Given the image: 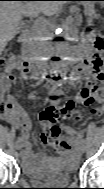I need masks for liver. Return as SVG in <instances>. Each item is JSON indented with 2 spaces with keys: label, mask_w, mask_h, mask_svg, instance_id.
<instances>
[{
  "label": "liver",
  "mask_w": 104,
  "mask_h": 189,
  "mask_svg": "<svg viewBox=\"0 0 104 189\" xmlns=\"http://www.w3.org/2000/svg\"><path fill=\"white\" fill-rule=\"evenodd\" d=\"M60 2L1 1L0 45L6 44L18 33L22 16L37 15L39 12L54 13ZM49 9L51 11H49Z\"/></svg>",
  "instance_id": "obj_1"
}]
</instances>
